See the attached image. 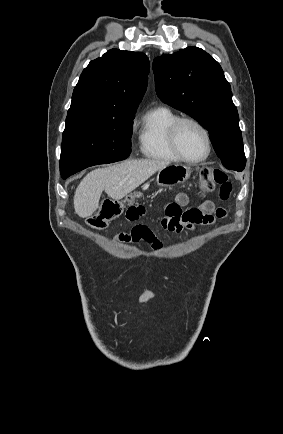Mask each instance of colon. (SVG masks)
Here are the masks:
<instances>
[{"label":"colon","mask_w":283,"mask_h":434,"mask_svg":"<svg viewBox=\"0 0 283 434\" xmlns=\"http://www.w3.org/2000/svg\"><path fill=\"white\" fill-rule=\"evenodd\" d=\"M201 182L203 188L212 190L218 187V193L221 200L229 198L232 191L226 173L217 168H205L201 171ZM139 195L137 193L129 195L125 200L106 199L103 201L99 211L88 218V224L95 229L105 228L112 220L119 217L127 205L135 203Z\"/></svg>","instance_id":"5ec220e1"}]
</instances>
